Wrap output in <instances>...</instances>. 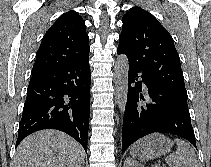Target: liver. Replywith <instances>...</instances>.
<instances>
[{"instance_id":"obj_1","label":"liver","mask_w":211,"mask_h":167,"mask_svg":"<svg viewBox=\"0 0 211 167\" xmlns=\"http://www.w3.org/2000/svg\"><path fill=\"white\" fill-rule=\"evenodd\" d=\"M84 157L82 146L67 134L42 130L19 144L12 167H81Z\"/></svg>"}]
</instances>
